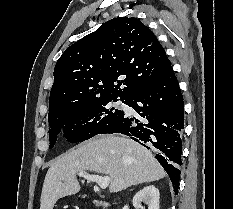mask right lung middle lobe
I'll return each mask as SVG.
<instances>
[{"instance_id":"1","label":"right lung middle lobe","mask_w":233,"mask_h":209,"mask_svg":"<svg viewBox=\"0 0 233 209\" xmlns=\"http://www.w3.org/2000/svg\"><path fill=\"white\" fill-rule=\"evenodd\" d=\"M116 98H105L90 103L67 106L48 114L50 148L57 140V135L64 132V137L71 143L82 142L105 131L118 120L124 112L111 107ZM125 103V100L122 99Z\"/></svg>"}]
</instances>
